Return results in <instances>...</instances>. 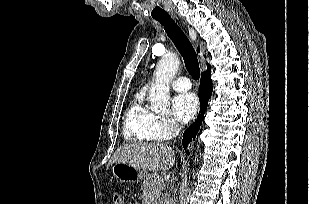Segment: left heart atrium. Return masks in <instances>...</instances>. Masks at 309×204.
Returning a JSON list of instances; mask_svg holds the SVG:
<instances>
[{"mask_svg": "<svg viewBox=\"0 0 309 204\" xmlns=\"http://www.w3.org/2000/svg\"><path fill=\"white\" fill-rule=\"evenodd\" d=\"M173 112L181 122L190 121L198 111L199 103L193 93H181L172 101Z\"/></svg>", "mask_w": 309, "mask_h": 204, "instance_id": "1", "label": "left heart atrium"}]
</instances>
